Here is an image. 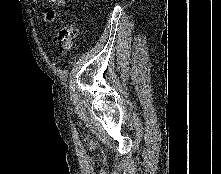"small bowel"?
<instances>
[{"label":"small bowel","mask_w":221,"mask_h":174,"mask_svg":"<svg viewBox=\"0 0 221 174\" xmlns=\"http://www.w3.org/2000/svg\"><path fill=\"white\" fill-rule=\"evenodd\" d=\"M33 1H38V0H33ZM52 5L55 6H65L66 5V0H49ZM54 19V11L52 8L47 7L44 10V21L46 22H51Z\"/></svg>","instance_id":"small-bowel-1"}]
</instances>
